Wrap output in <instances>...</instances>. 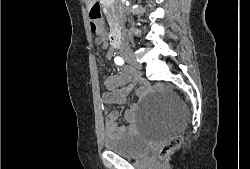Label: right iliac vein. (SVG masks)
<instances>
[{"instance_id":"right-iliac-vein-1","label":"right iliac vein","mask_w":250,"mask_h":169,"mask_svg":"<svg viewBox=\"0 0 250 169\" xmlns=\"http://www.w3.org/2000/svg\"><path fill=\"white\" fill-rule=\"evenodd\" d=\"M128 61L131 63V64H133V65H135V66H139L138 65V63L136 62V59H135V56L134 55H130L129 57H128Z\"/></svg>"}]
</instances>
